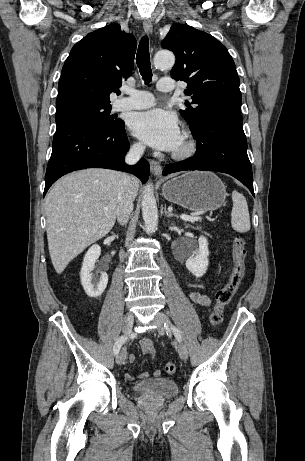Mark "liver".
I'll use <instances>...</instances> for the list:
<instances>
[{"instance_id": "obj_1", "label": "liver", "mask_w": 305, "mask_h": 461, "mask_svg": "<svg viewBox=\"0 0 305 461\" xmlns=\"http://www.w3.org/2000/svg\"><path fill=\"white\" fill-rule=\"evenodd\" d=\"M121 175L96 168L76 171L58 180L47 194V239L57 274L113 228ZM130 188L135 198L137 178L131 177Z\"/></svg>"}]
</instances>
